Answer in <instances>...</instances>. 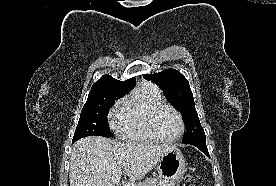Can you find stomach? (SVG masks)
<instances>
[{
	"label": "stomach",
	"mask_w": 276,
	"mask_h": 186,
	"mask_svg": "<svg viewBox=\"0 0 276 186\" xmlns=\"http://www.w3.org/2000/svg\"><path fill=\"white\" fill-rule=\"evenodd\" d=\"M157 169L165 186H175L185 172V159L181 151L175 147L168 151L159 160Z\"/></svg>",
	"instance_id": "1"
}]
</instances>
